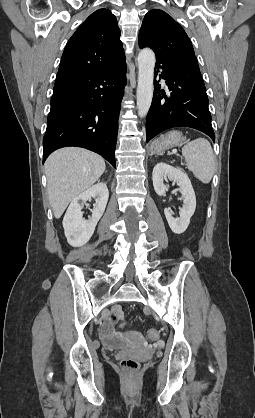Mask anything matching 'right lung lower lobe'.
<instances>
[{"mask_svg": "<svg viewBox=\"0 0 255 418\" xmlns=\"http://www.w3.org/2000/svg\"><path fill=\"white\" fill-rule=\"evenodd\" d=\"M126 63L57 78L43 138V162L56 149L77 146L115 164Z\"/></svg>", "mask_w": 255, "mask_h": 418, "instance_id": "right-lung-lower-lobe-1", "label": "right lung lower lobe"}]
</instances>
